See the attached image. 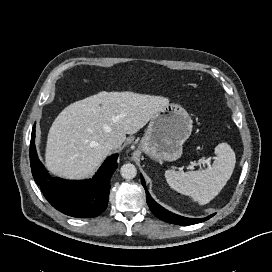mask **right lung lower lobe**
<instances>
[{"instance_id":"98d812e1","label":"right lung lower lobe","mask_w":272,"mask_h":272,"mask_svg":"<svg viewBox=\"0 0 272 272\" xmlns=\"http://www.w3.org/2000/svg\"><path fill=\"white\" fill-rule=\"evenodd\" d=\"M34 139L35 125L30 142L31 170L49 203L60 212L77 218H92L104 212L108 204L110 179L118 166V154L108 157L92 179L64 180L49 175L38 159Z\"/></svg>"}]
</instances>
